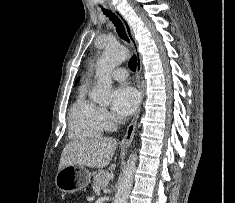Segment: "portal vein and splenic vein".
Masks as SVG:
<instances>
[{
	"mask_svg": "<svg viewBox=\"0 0 235 203\" xmlns=\"http://www.w3.org/2000/svg\"><path fill=\"white\" fill-rule=\"evenodd\" d=\"M95 193H96V194H99V193H100V189H96V190H95Z\"/></svg>",
	"mask_w": 235,
	"mask_h": 203,
	"instance_id": "1",
	"label": "portal vein and splenic vein"
}]
</instances>
